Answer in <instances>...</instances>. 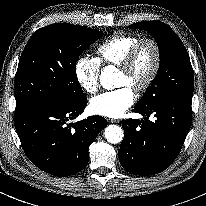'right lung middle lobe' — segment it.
I'll return each mask as SVG.
<instances>
[{
	"label": "right lung middle lobe",
	"instance_id": "obj_1",
	"mask_svg": "<svg viewBox=\"0 0 206 206\" xmlns=\"http://www.w3.org/2000/svg\"><path fill=\"white\" fill-rule=\"evenodd\" d=\"M101 31L57 23L38 29L20 57L15 76V113L47 102H78L85 98L76 62Z\"/></svg>",
	"mask_w": 206,
	"mask_h": 206
}]
</instances>
